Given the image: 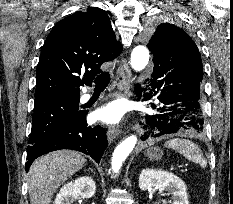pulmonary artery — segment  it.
I'll return each mask as SVG.
<instances>
[{"label":"pulmonary artery","mask_w":233,"mask_h":204,"mask_svg":"<svg viewBox=\"0 0 233 204\" xmlns=\"http://www.w3.org/2000/svg\"><path fill=\"white\" fill-rule=\"evenodd\" d=\"M91 95L89 93H85L81 96L80 100L82 102H87L90 99Z\"/></svg>","instance_id":"1"}]
</instances>
